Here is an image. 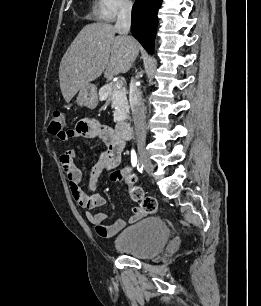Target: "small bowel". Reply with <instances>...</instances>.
Instances as JSON below:
<instances>
[{
    "label": "small bowel",
    "instance_id": "1",
    "mask_svg": "<svg viewBox=\"0 0 261 306\" xmlns=\"http://www.w3.org/2000/svg\"><path fill=\"white\" fill-rule=\"evenodd\" d=\"M71 138L99 140L103 144L98 158L90 171L89 181L86 187L82 186V173L74 163L76 157V151L74 149L66 150L60 156V163L68 179L74 200L86 211V218L95 226L97 234L104 238L113 237L126 226V221L118 219L114 223L106 225L105 221L108 215L104 212H94L96 208L105 205V198L99 194H91L90 191L94 188L103 173L111 171L118 166L126 140L114 134L109 128L91 119L79 121L75 128L67 130L65 137L61 139L68 140ZM142 216V210L136 206L132 209V215L129 221L135 222Z\"/></svg>",
    "mask_w": 261,
    "mask_h": 306
}]
</instances>
